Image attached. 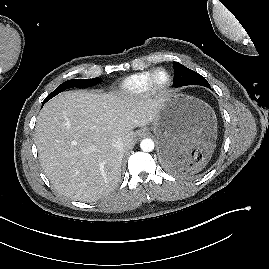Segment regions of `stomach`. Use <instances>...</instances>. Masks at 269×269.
Returning a JSON list of instances; mask_svg holds the SVG:
<instances>
[{"label": "stomach", "mask_w": 269, "mask_h": 269, "mask_svg": "<svg viewBox=\"0 0 269 269\" xmlns=\"http://www.w3.org/2000/svg\"><path fill=\"white\" fill-rule=\"evenodd\" d=\"M152 130L165 167L164 150L176 149V160L168 166L174 171L197 167L211 157L216 147V115L207 103L191 96L168 94L159 100Z\"/></svg>", "instance_id": "obj_1"}]
</instances>
